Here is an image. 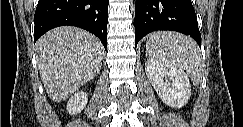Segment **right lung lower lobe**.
Returning a JSON list of instances; mask_svg holds the SVG:
<instances>
[{
	"label": "right lung lower lobe",
	"mask_w": 243,
	"mask_h": 127,
	"mask_svg": "<svg viewBox=\"0 0 243 127\" xmlns=\"http://www.w3.org/2000/svg\"><path fill=\"white\" fill-rule=\"evenodd\" d=\"M108 3L109 0H39L34 43L52 28L72 25L95 34L106 49Z\"/></svg>",
	"instance_id": "98d812e1"
}]
</instances>
